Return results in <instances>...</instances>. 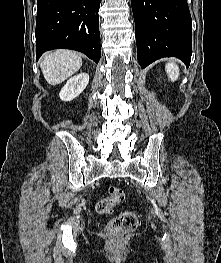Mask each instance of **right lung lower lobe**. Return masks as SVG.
I'll return each instance as SVG.
<instances>
[{
	"instance_id": "obj_1",
	"label": "right lung lower lobe",
	"mask_w": 221,
	"mask_h": 263,
	"mask_svg": "<svg viewBox=\"0 0 221 263\" xmlns=\"http://www.w3.org/2000/svg\"><path fill=\"white\" fill-rule=\"evenodd\" d=\"M37 6V60L47 50L66 48L98 63L100 0H37Z\"/></svg>"
}]
</instances>
